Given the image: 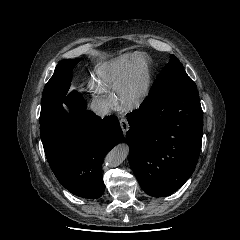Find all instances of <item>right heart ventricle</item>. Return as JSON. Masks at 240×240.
I'll return each mask as SVG.
<instances>
[{"label": "right heart ventricle", "instance_id": "e07e8e85", "mask_svg": "<svg viewBox=\"0 0 240 240\" xmlns=\"http://www.w3.org/2000/svg\"><path fill=\"white\" fill-rule=\"evenodd\" d=\"M130 64H133L138 69L145 66L146 59L144 54L139 52L124 54L103 65L97 73L98 85L103 89L116 88L124 70Z\"/></svg>", "mask_w": 240, "mask_h": 240}]
</instances>
